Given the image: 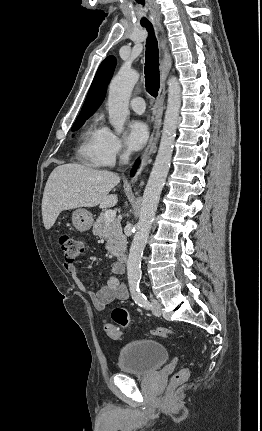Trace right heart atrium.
<instances>
[{
	"instance_id": "obj_1",
	"label": "right heart atrium",
	"mask_w": 262,
	"mask_h": 431,
	"mask_svg": "<svg viewBox=\"0 0 262 431\" xmlns=\"http://www.w3.org/2000/svg\"><path fill=\"white\" fill-rule=\"evenodd\" d=\"M99 148L103 165H111L116 159L125 158L129 154L122 140L107 127L102 128Z\"/></svg>"
}]
</instances>
